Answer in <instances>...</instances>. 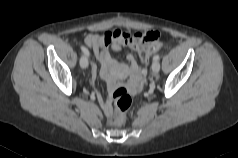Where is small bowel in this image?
<instances>
[{
	"label": "small bowel",
	"instance_id": "1",
	"mask_svg": "<svg viewBox=\"0 0 238 158\" xmlns=\"http://www.w3.org/2000/svg\"><path fill=\"white\" fill-rule=\"evenodd\" d=\"M158 34L157 32H137L134 35H130L122 30L116 29L108 31L102 35L88 34L84 38L86 46L91 48L100 63V76L105 79L109 87H113L114 81L117 78L130 76V84L133 90L139 88L143 77L144 71L139 67L135 57L132 54H127L126 64H121L112 58L109 49L118 52L123 46H128L134 51H139L142 47L150 45V42L146 40V35ZM98 71V66L92 64L91 72L95 76ZM102 105L103 110L108 115L111 110V103L98 97Z\"/></svg>",
	"mask_w": 238,
	"mask_h": 158
}]
</instances>
